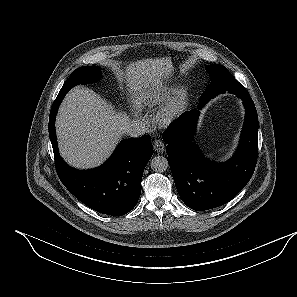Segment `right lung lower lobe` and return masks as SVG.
I'll list each match as a JSON object with an SVG mask.
<instances>
[{
  "mask_svg": "<svg viewBox=\"0 0 297 297\" xmlns=\"http://www.w3.org/2000/svg\"><path fill=\"white\" fill-rule=\"evenodd\" d=\"M66 93L58 94L49 116V136L57 174L64 186L93 210L112 216L131 211L141 193L144 168L153 154L150 136L123 140L100 167L79 171L60 157L55 132V117Z\"/></svg>",
  "mask_w": 297,
  "mask_h": 297,
  "instance_id": "98d812e1",
  "label": "right lung lower lobe"
}]
</instances>
